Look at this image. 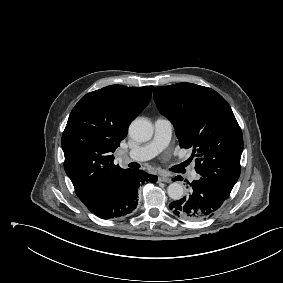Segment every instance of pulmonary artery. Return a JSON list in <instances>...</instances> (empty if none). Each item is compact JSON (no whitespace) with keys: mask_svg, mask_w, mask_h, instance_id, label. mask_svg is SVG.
<instances>
[{"mask_svg":"<svg viewBox=\"0 0 283 283\" xmlns=\"http://www.w3.org/2000/svg\"><path fill=\"white\" fill-rule=\"evenodd\" d=\"M154 129L155 132L151 141L130 150L124 158L145 161L163 151L170 142L173 125L166 118H157L154 122ZM191 179H197V174L194 170L191 171Z\"/></svg>","mask_w":283,"mask_h":283,"instance_id":"1","label":"pulmonary artery"}]
</instances>
